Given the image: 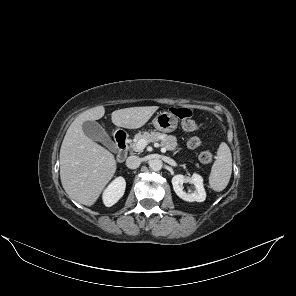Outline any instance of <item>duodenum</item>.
I'll return each mask as SVG.
<instances>
[{
	"label": "duodenum",
	"mask_w": 296,
	"mask_h": 296,
	"mask_svg": "<svg viewBox=\"0 0 296 296\" xmlns=\"http://www.w3.org/2000/svg\"><path fill=\"white\" fill-rule=\"evenodd\" d=\"M114 139L117 145V161L122 162L127 156V137L124 133L117 132Z\"/></svg>",
	"instance_id": "1"
}]
</instances>
